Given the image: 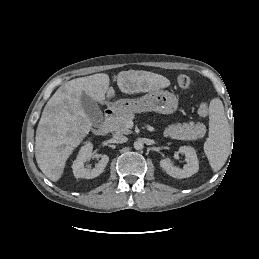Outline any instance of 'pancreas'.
I'll return each instance as SVG.
<instances>
[{
    "label": "pancreas",
    "instance_id": "cf45deb5",
    "mask_svg": "<svg viewBox=\"0 0 259 259\" xmlns=\"http://www.w3.org/2000/svg\"><path fill=\"white\" fill-rule=\"evenodd\" d=\"M135 118L134 114H125L117 116L114 119L107 121V126L115 135H127L131 130L127 127V122ZM206 127L200 122H189L183 124H171L165 131L164 136L178 140H196L205 135Z\"/></svg>",
    "mask_w": 259,
    "mask_h": 259
}]
</instances>
